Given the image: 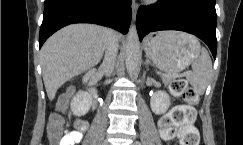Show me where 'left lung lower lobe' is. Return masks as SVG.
<instances>
[{"instance_id":"0a47b994","label":"left lung lower lobe","mask_w":243,"mask_h":145,"mask_svg":"<svg viewBox=\"0 0 243 145\" xmlns=\"http://www.w3.org/2000/svg\"><path fill=\"white\" fill-rule=\"evenodd\" d=\"M216 23L215 1L211 0H158L155 4L140 6L136 20L140 40L153 31H184L202 39L214 58Z\"/></svg>"}]
</instances>
